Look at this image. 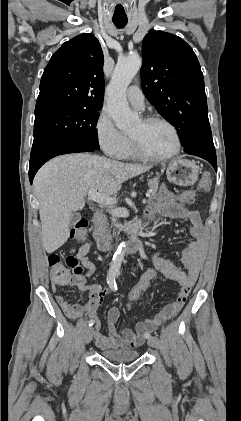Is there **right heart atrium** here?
<instances>
[{"label":"right heart atrium","instance_id":"obj_1","mask_svg":"<svg viewBox=\"0 0 241 421\" xmlns=\"http://www.w3.org/2000/svg\"><path fill=\"white\" fill-rule=\"evenodd\" d=\"M95 132L102 150L110 157L120 158L127 144V136L118 130L107 111L99 114Z\"/></svg>","mask_w":241,"mask_h":421}]
</instances>
